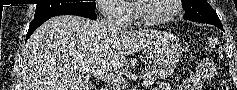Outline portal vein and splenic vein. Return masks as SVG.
I'll return each mask as SVG.
<instances>
[{
  "instance_id": "1",
  "label": "portal vein and splenic vein",
  "mask_w": 237,
  "mask_h": 90,
  "mask_svg": "<svg viewBox=\"0 0 237 90\" xmlns=\"http://www.w3.org/2000/svg\"><path fill=\"white\" fill-rule=\"evenodd\" d=\"M106 80L110 82V84H113V86H117V88H122L125 80H122V78H117V76H114V74H108L106 76Z\"/></svg>"
}]
</instances>
